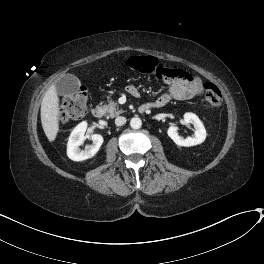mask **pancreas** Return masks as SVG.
<instances>
[{"label":"pancreas","mask_w":264,"mask_h":264,"mask_svg":"<svg viewBox=\"0 0 264 264\" xmlns=\"http://www.w3.org/2000/svg\"><path fill=\"white\" fill-rule=\"evenodd\" d=\"M105 115L109 118H113L123 113V110L120 109L118 103L108 100V104L104 105Z\"/></svg>","instance_id":"1"}]
</instances>
